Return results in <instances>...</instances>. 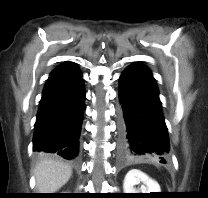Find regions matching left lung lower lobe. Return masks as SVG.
Segmentation results:
<instances>
[{
  "label": "left lung lower lobe",
  "mask_w": 208,
  "mask_h": 198,
  "mask_svg": "<svg viewBox=\"0 0 208 198\" xmlns=\"http://www.w3.org/2000/svg\"><path fill=\"white\" fill-rule=\"evenodd\" d=\"M119 153L124 159L159 157L169 152L159 91L149 68L128 66L119 79Z\"/></svg>",
  "instance_id": "0a47b994"
}]
</instances>
